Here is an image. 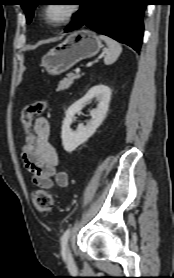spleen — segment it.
<instances>
[{
  "mask_svg": "<svg viewBox=\"0 0 174 278\" xmlns=\"http://www.w3.org/2000/svg\"><path fill=\"white\" fill-rule=\"evenodd\" d=\"M99 39L103 40L106 43V45L108 46V52L104 58V63L106 65H110V64L114 63L122 52L121 45L114 39H112L108 36H105V35H100Z\"/></svg>",
  "mask_w": 174,
  "mask_h": 278,
  "instance_id": "1",
  "label": "spleen"
}]
</instances>
